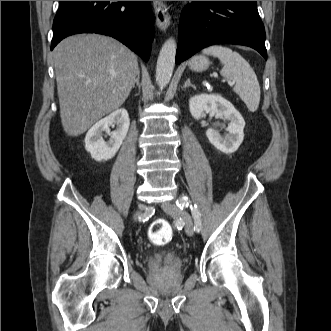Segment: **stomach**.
I'll return each mask as SVG.
<instances>
[{"label": "stomach", "mask_w": 331, "mask_h": 331, "mask_svg": "<svg viewBox=\"0 0 331 331\" xmlns=\"http://www.w3.org/2000/svg\"><path fill=\"white\" fill-rule=\"evenodd\" d=\"M188 65L191 70L201 72L208 68L209 59L203 55H197L191 58Z\"/></svg>", "instance_id": "0dacf381"}]
</instances>
